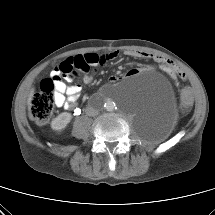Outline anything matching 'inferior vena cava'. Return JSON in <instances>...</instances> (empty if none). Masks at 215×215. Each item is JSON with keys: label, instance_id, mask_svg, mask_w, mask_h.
<instances>
[{"label": "inferior vena cava", "instance_id": "1", "mask_svg": "<svg viewBox=\"0 0 215 215\" xmlns=\"http://www.w3.org/2000/svg\"><path fill=\"white\" fill-rule=\"evenodd\" d=\"M85 112L88 116H93V117L97 116L99 114V110L90 105L88 107H86Z\"/></svg>", "mask_w": 215, "mask_h": 215}]
</instances>
